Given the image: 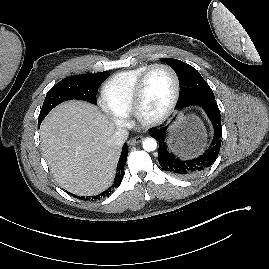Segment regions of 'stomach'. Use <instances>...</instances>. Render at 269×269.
I'll return each instance as SVG.
<instances>
[{
	"instance_id": "1",
	"label": "stomach",
	"mask_w": 269,
	"mask_h": 269,
	"mask_svg": "<svg viewBox=\"0 0 269 269\" xmlns=\"http://www.w3.org/2000/svg\"><path fill=\"white\" fill-rule=\"evenodd\" d=\"M205 136L203 124L198 117L181 116L171 129L170 142L188 156L200 150Z\"/></svg>"
}]
</instances>
